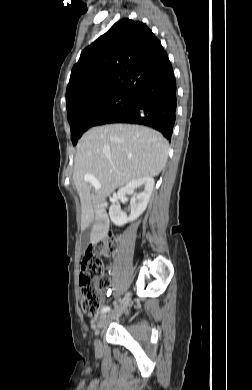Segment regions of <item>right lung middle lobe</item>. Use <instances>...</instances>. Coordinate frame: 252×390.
<instances>
[{"label":"right lung middle lobe","mask_w":252,"mask_h":390,"mask_svg":"<svg viewBox=\"0 0 252 390\" xmlns=\"http://www.w3.org/2000/svg\"><path fill=\"white\" fill-rule=\"evenodd\" d=\"M134 101V95L118 94L88 102L67 113L71 128V140L75 145L90 127L105 124L127 110Z\"/></svg>","instance_id":"right-lung-middle-lobe-1"}]
</instances>
